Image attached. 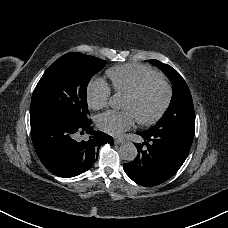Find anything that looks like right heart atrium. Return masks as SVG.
Here are the masks:
<instances>
[{
    "mask_svg": "<svg viewBox=\"0 0 228 228\" xmlns=\"http://www.w3.org/2000/svg\"><path fill=\"white\" fill-rule=\"evenodd\" d=\"M89 106L94 110L105 108L112 99L110 86L104 81L90 83L87 92Z\"/></svg>",
    "mask_w": 228,
    "mask_h": 228,
    "instance_id": "obj_1",
    "label": "right heart atrium"
}]
</instances>
